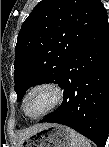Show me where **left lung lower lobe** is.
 <instances>
[{
    "label": "left lung lower lobe",
    "mask_w": 109,
    "mask_h": 147,
    "mask_svg": "<svg viewBox=\"0 0 109 147\" xmlns=\"http://www.w3.org/2000/svg\"><path fill=\"white\" fill-rule=\"evenodd\" d=\"M59 86L63 103L39 122L66 125L105 147L109 132V23L107 12L69 58Z\"/></svg>",
    "instance_id": "obj_1"
}]
</instances>
